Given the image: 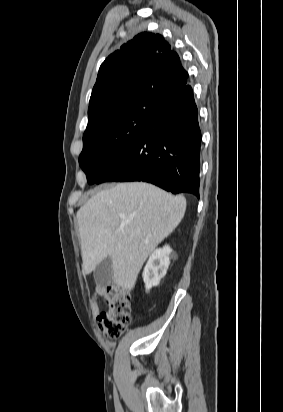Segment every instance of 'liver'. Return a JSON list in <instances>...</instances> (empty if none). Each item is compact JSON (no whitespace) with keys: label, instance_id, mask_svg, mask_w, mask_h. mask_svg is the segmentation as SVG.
Masks as SVG:
<instances>
[{"label":"liver","instance_id":"6515ba94","mask_svg":"<svg viewBox=\"0 0 283 412\" xmlns=\"http://www.w3.org/2000/svg\"><path fill=\"white\" fill-rule=\"evenodd\" d=\"M185 211L183 196L148 183H119L96 193L76 215L84 274L109 256L114 282L131 291L150 253L175 230Z\"/></svg>","mask_w":283,"mask_h":412}]
</instances>
